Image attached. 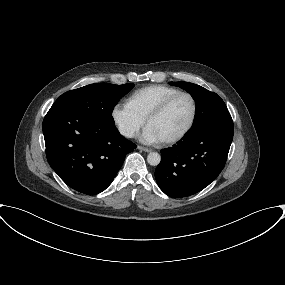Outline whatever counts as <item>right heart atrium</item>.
I'll use <instances>...</instances> for the list:
<instances>
[{
    "instance_id": "d8ad5b80",
    "label": "right heart atrium",
    "mask_w": 285,
    "mask_h": 285,
    "mask_svg": "<svg viewBox=\"0 0 285 285\" xmlns=\"http://www.w3.org/2000/svg\"><path fill=\"white\" fill-rule=\"evenodd\" d=\"M111 117L119 133L126 138L135 137L145 124V119L134 110L129 102H117L112 108Z\"/></svg>"
}]
</instances>
